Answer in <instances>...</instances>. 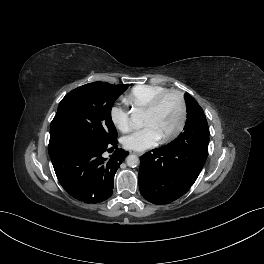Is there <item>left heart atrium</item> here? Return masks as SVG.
I'll list each match as a JSON object with an SVG mask.
<instances>
[{"mask_svg": "<svg viewBox=\"0 0 264 264\" xmlns=\"http://www.w3.org/2000/svg\"><path fill=\"white\" fill-rule=\"evenodd\" d=\"M161 139V135L153 125H146L144 128L135 130L122 138L125 148L143 151L155 146Z\"/></svg>", "mask_w": 264, "mask_h": 264, "instance_id": "obj_1", "label": "left heart atrium"}]
</instances>
